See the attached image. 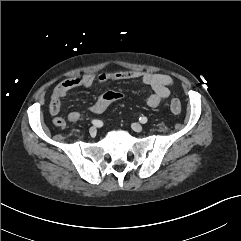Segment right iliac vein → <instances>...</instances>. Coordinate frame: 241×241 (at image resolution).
Masks as SVG:
<instances>
[{
    "label": "right iliac vein",
    "mask_w": 241,
    "mask_h": 241,
    "mask_svg": "<svg viewBox=\"0 0 241 241\" xmlns=\"http://www.w3.org/2000/svg\"><path fill=\"white\" fill-rule=\"evenodd\" d=\"M96 132H97V130H96L95 127H91V128L89 129V133H90L91 136H95V135H96Z\"/></svg>",
    "instance_id": "obj_1"
}]
</instances>
